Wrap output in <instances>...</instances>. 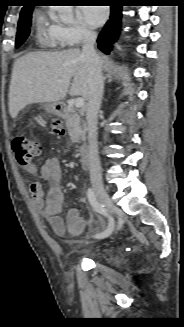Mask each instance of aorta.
Segmentation results:
<instances>
[{
  "instance_id": "obj_1",
  "label": "aorta",
  "mask_w": 184,
  "mask_h": 327,
  "mask_svg": "<svg viewBox=\"0 0 184 327\" xmlns=\"http://www.w3.org/2000/svg\"><path fill=\"white\" fill-rule=\"evenodd\" d=\"M66 19H67V20L72 19V15H71V14H68V15L66 16Z\"/></svg>"
}]
</instances>
